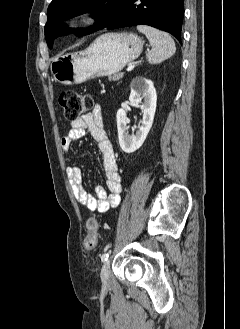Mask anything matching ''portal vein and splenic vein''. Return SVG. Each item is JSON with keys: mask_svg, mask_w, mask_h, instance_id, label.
Segmentation results:
<instances>
[{"mask_svg": "<svg viewBox=\"0 0 240 329\" xmlns=\"http://www.w3.org/2000/svg\"><path fill=\"white\" fill-rule=\"evenodd\" d=\"M134 67H135V65L132 63V64L128 65L126 71H127V72H130L131 70L134 69Z\"/></svg>", "mask_w": 240, "mask_h": 329, "instance_id": "18ae733b", "label": "portal vein and splenic vein"}]
</instances>
